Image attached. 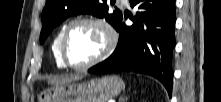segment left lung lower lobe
Segmentation results:
<instances>
[{"instance_id":"1","label":"left lung lower lobe","mask_w":221,"mask_h":102,"mask_svg":"<svg viewBox=\"0 0 221 102\" xmlns=\"http://www.w3.org/2000/svg\"><path fill=\"white\" fill-rule=\"evenodd\" d=\"M137 8L135 25L120 21L119 42L113 54L90 68V73L133 71L157 78L172 94V56L175 47V0H130Z\"/></svg>"}]
</instances>
